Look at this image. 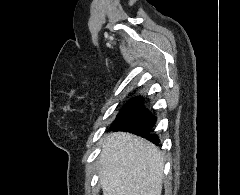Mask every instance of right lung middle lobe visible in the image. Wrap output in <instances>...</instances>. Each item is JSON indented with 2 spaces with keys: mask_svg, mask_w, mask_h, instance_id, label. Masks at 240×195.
<instances>
[{
  "mask_svg": "<svg viewBox=\"0 0 240 195\" xmlns=\"http://www.w3.org/2000/svg\"><path fill=\"white\" fill-rule=\"evenodd\" d=\"M143 106V98L140 96L132 98L119 112L113 126L120 123L123 119Z\"/></svg>",
  "mask_w": 240,
  "mask_h": 195,
  "instance_id": "1",
  "label": "right lung middle lobe"
}]
</instances>
